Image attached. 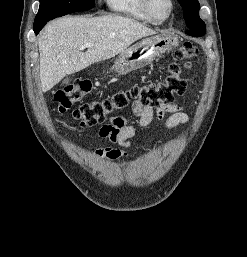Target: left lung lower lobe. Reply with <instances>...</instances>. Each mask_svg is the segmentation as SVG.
<instances>
[{
	"mask_svg": "<svg viewBox=\"0 0 247 257\" xmlns=\"http://www.w3.org/2000/svg\"><path fill=\"white\" fill-rule=\"evenodd\" d=\"M186 34H188V33H186ZM188 35L194 36V37H200V35H196V34H188Z\"/></svg>",
	"mask_w": 247,
	"mask_h": 257,
	"instance_id": "left-lung-lower-lobe-1",
	"label": "left lung lower lobe"
}]
</instances>
